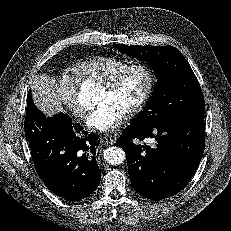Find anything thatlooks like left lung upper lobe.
<instances>
[{
  "instance_id": "left-lung-upper-lobe-1",
  "label": "left lung upper lobe",
  "mask_w": 231,
  "mask_h": 231,
  "mask_svg": "<svg viewBox=\"0 0 231 231\" xmlns=\"http://www.w3.org/2000/svg\"><path fill=\"white\" fill-rule=\"evenodd\" d=\"M122 53L150 62L158 78L143 111L129 126L167 125L204 115L205 104L199 82L189 63L173 46H128L117 44Z\"/></svg>"
}]
</instances>
